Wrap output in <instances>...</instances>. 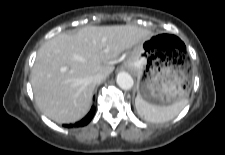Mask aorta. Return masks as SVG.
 <instances>
[{
	"label": "aorta",
	"mask_w": 225,
	"mask_h": 155,
	"mask_svg": "<svg viewBox=\"0 0 225 155\" xmlns=\"http://www.w3.org/2000/svg\"><path fill=\"white\" fill-rule=\"evenodd\" d=\"M116 82L119 85V87L123 90L131 89L134 84L133 78L127 72L118 73Z\"/></svg>",
	"instance_id": "aorta-1"
}]
</instances>
